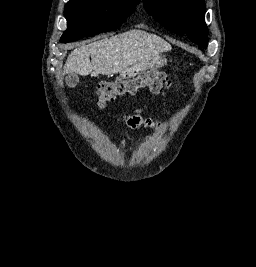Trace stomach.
<instances>
[{"label": "stomach", "mask_w": 256, "mask_h": 267, "mask_svg": "<svg viewBox=\"0 0 256 267\" xmlns=\"http://www.w3.org/2000/svg\"><path fill=\"white\" fill-rule=\"evenodd\" d=\"M135 67H166V62H135Z\"/></svg>", "instance_id": "obj_1"}]
</instances>
